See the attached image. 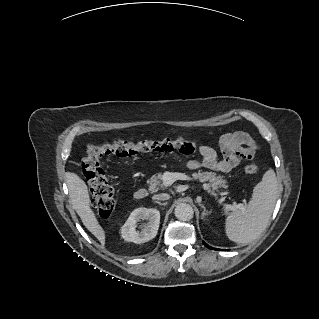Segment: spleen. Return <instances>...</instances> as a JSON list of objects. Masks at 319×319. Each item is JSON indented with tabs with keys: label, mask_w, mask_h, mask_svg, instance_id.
Listing matches in <instances>:
<instances>
[{
	"label": "spleen",
	"mask_w": 319,
	"mask_h": 319,
	"mask_svg": "<svg viewBox=\"0 0 319 319\" xmlns=\"http://www.w3.org/2000/svg\"><path fill=\"white\" fill-rule=\"evenodd\" d=\"M278 189L274 170H267L254 187L248 205L242 210L231 212L226 218L225 232L231 241L249 243L263 233L273 213Z\"/></svg>",
	"instance_id": "spleen-1"
}]
</instances>
